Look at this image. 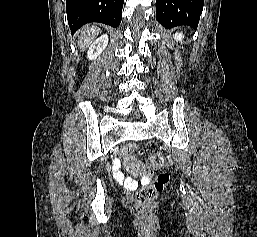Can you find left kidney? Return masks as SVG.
Masks as SVG:
<instances>
[{
	"label": "left kidney",
	"instance_id": "1",
	"mask_svg": "<svg viewBox=\"0 0 257 237\" xmlns=\"http://www.w3.org/2000/svg\"><path fill=\"white\" fill-rule=\"evenodd\" d=\"M183 38H184V35L181 34V33H176V34L174 35V39H175L176 41L182 42Z\"/></svg>",
	"mask_w": 257,
	"mask_h": 237
}]
</instances>
